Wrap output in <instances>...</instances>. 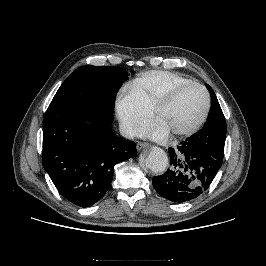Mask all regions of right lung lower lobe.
Returning <instances> with one entry per match:
<instances>
[{
	"label": "right lung lower lobe",
	"mask_w": 266,
	"mask_h": 266,
	"mask_svg": "<svg viewBox=\"0 0 266 266\" xmlns=\"http://www.w3.org/2000/svg\"><path fill=\"white\" fill-rule=\"evenodd\" d=\"M92 125H85L84 120ZM112 112L93 105L51 102L43 122V167L58 192L80 207L100 200L115 164L136 155L133 141L116 136Z\"/></svg>",
	"instance_id": "1"
}]
</instances>
